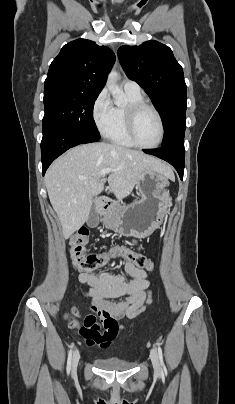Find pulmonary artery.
<instances>
[{"label": "pulmonary artery", "instance_id": "obj_1", "mask_svg": "<svg viewBox=\"0 0 235 404\" xmlns=\"http://www.w3.org/2000/svg\"><path fill=\"white\" fill-rule=\"evenodd\" d=\"M123 88H124L125 92L134 93V94L141 93L140 86L135 81H132V80H124Z\"/></svg>", "mask_w": 235, "mask_h": 404}]
</instances>
